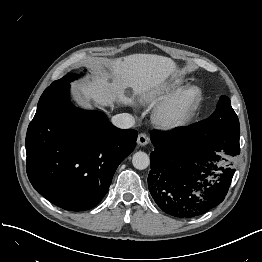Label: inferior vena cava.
Masks as SVG:
<instances>
[{
    "label": "inferior vena cava",
    "mask_w": 262,
    "mask_h": 262,
    "mask_svg": "<svg viewBox=\"0 0 262 262\" xmlns=\"http://www.w3.org/2000/svg\"><path fill=\"white\" fill-rule=\"evenodd\" d=\"M114 126L120 129H128L135 124L134 117L129 113H121L112 117L111 119Z\"/></svg>",
    "instance_id": "1"
}]
</instances>
